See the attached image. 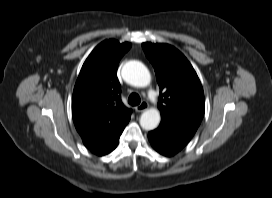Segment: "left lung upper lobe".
Wrapping results in <instances>:
<instances>
[{"label":"left lung upper lobe","instance_id":"left-lung-upper-lobe-1","mask_svg":"<svg viewBox=\"0 0 272 198\" xmlns=\"http://www.w3.org/2000/svg\"><path fill=\"white\" fill-rule=\"evenodd\" d=\"M162 93L158 108L161 120L195 131L204 116L202 85L186 57L169 44L143 43Z\"/></svg>","mask_w":272,"mask_h":198}]
</instances>
